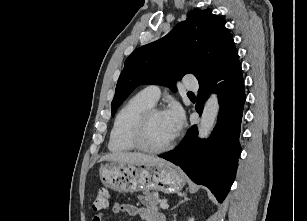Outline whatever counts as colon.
<instances>
[{
  "mask_svg": "<svg viewBox=\"0 0 307 221\" xmlns=\"http://www.w3.org/2000/svg\"><path fill=\"white\" fill-rule=\"evenodd\" d=\"M109 199H110V196H109L107 189L101 188L98 191L96 199L93 204L94 210L98 212L105 210L109 205Z\"/></svg>",
  "mask_w": 307,
  "mask_h": 221,
  "instance_id": "colon-1",
  "label": "colon"
}]
</instances>
